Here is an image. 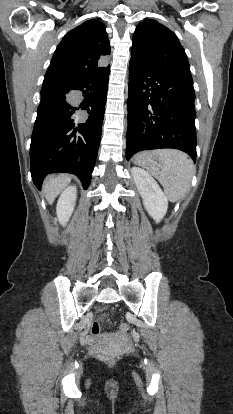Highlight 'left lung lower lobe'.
<instances>
[{"mask_svg":"<svg viewBox=\"0 0 233 414\" xmlns=\"http://www.w3.org/2000/svg\"><path fill=\"white\" fill-rule=\"evenodd\" d=\"M195 92L190 77L160 73L130 59L126 159L174 148L196 160Z\"/></svg>","mask_w":233,"mask_h":414,"instance_id":"0a47b994","label":"left lung lower lobe"}]
</instances>
